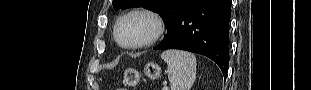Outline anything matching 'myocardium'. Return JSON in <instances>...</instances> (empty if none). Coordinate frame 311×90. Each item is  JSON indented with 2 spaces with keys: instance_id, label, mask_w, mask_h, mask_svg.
Instances as JSON below:
<instances>
[{
  "instance_id": "obj_1",
  "label": "myocardium",
  "mask_w": 311,
  "mask_h": 90,
  "mask_svg": "<svg viewBox=\"0 0 311 90\" xmlns=\"http://www.w3.org/2000/svg\"><path fill=\"white\" fill-rule=\"evenodd\" d=\"M131 17H143L148 19L152 24V30L150 34L141 41L133 42V43H123L120 41L118 36V30L123 21ZM165 24L160 15L156 12L146 9H135L131 10L118 18L114 25L113 29V37L115 42L122 48L127 50H135L144 48L154 44L164 33Z\"/></svg>"
}]
</instances>
